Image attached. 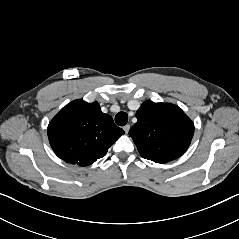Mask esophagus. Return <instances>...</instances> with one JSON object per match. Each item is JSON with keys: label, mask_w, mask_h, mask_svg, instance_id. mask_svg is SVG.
I'll return each mask as SVG.
<instances>
[{"label": "esophagus", "mask_w": 239, "mask_h": 239, "mask_svg": "<svg viewBox=\"0 0 239 239\" xmlns=\"http://www.w3.org/2000/svg\"><path fill=\"white\" fill-rule=\"evenodd\" d=\"M123 129H124L125 133L127 134L129 132V130H130V125L129 124L125 125L123 127Z\"/></svg>", "instance_id": "34e87169"}]
</instances>
